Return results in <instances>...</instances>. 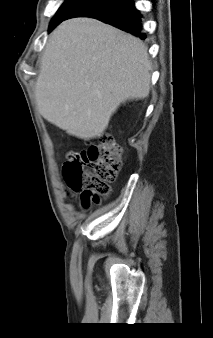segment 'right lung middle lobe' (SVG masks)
<instances>
[{
	"label": "right lung middle lobe",
	"instance_id": "1",
	"mask_svg": "<svg viewBox=\"0 0 213 338\" xmlns=\"http://www.w3.org/2000/svg\"><path fill=\"white\" fill-rule=\"evenodd\" d=\"M92 1L93 0H65L53 17L49 26V32L52 31L62 21L66 20V18L76 9Z\"/></svg>",
	"mask_w": 213,
	"mask_h": 338
}]
</instances>
